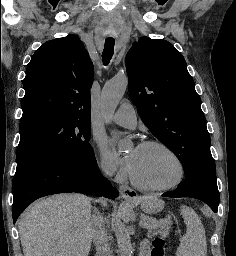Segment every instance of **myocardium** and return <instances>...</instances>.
Segmentation results:
<instances>
[{
  "mask_svg": "<svg viewBox=\"0 0 236 256\" xmlns=\"http://www.w3.org/2000/svg\"><path fill=\"white\" fill-rule=\"evenodd\" d=\"M138 147H140V148H161V149L167 151L175 159L176 163L178 164L179 175L173 182H171L167 185L160 186V187H150V186L141 184L135 178V176L132 174V172L129 169L128 170L129 180L133 187H135L136 189H138L140 191L146 192V193H162V192L168 191L170 189H173L182 183V181L184 180V177H185V173H186L185 165H184L183 160L179 156V154L173 148H171L170 146H168L167 144H165L161 141H156V140L144 141V142L140 143Z\"/></svg>",
  "mask_w": 236,
  "mask_h": 256,
  "instance_id": "1",
  "label": "myocardium"
}]
</instances>
